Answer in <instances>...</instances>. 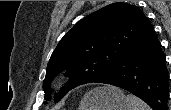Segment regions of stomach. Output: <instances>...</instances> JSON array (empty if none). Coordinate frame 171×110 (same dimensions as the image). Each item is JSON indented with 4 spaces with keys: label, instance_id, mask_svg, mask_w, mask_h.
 I'll return each mask as SVG.
<instances>
[{
    "label": "stomach",
    "instance_id": "0dacf381",
    "mask_svg": "<svg viewBox=\"0 0 171 110\" xmlns=\"http://www.w3.org/2000/svg\"><path fill=\"white\" fill-rule=\"evenodd\" d=\"M79 110H131V105L122 90L104 86L88 92L83 97Z\"/></svg>",
    "mask_w": 171,
    "mask_h": 110
}]
</instances>
